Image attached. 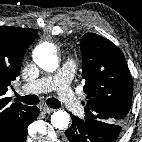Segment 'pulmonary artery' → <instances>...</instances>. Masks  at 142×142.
I'll return each mask as SVG.
<instances>
[{
  "instance_id": "obj_1",
  "label": "pulmonary artery",
  "mask_w": 142,
  "mask_h": 142,
  "mask_svg": "<svg viewBox=\"0 0 142 142\" xmlns=\"http://www.w3.org/2000/svg\"><path fill=\"white\" fill-rule=\"evenodd\" d=\"M74 71L75 62L72 59H67L56 75L42 77L26 83L22 86V90L29 93L57 91L67 110L74 115H80L83 106L70 87Z\"/></svg>"
}]
</instances>
